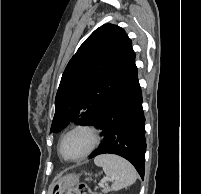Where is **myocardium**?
<instances>
[{
    "label": "myocardium",
    "mask_w": 201,
    "mask_h": 194,
    "mask_svg": "<svg viewBox=\"0 0 201 194\" xmlns=\"http://www.w3.org/2000/svg\"><path fill=\"white\" fill-rule=\"evenodd\" d=\"M78 131H84L89 134L91 138V142L89 147L79 156L77 157H66L62 152V144L63 141L67 136H69L72 133L78 132ZM101 141V132L99 128L91 123H78L67 129L60 137L59 143H58V152L59 155L66 161L69 162H77L81 161L85 158H87L100 144Z\"/></svg>",
    "instance_id": "obj_1"
}]
</instances>
